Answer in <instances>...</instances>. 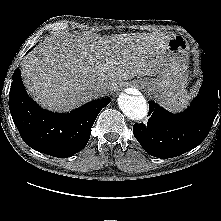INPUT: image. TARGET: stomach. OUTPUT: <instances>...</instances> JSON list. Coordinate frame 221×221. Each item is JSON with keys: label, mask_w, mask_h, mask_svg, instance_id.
<instances>
[{"label": "stomach", "mask_w": 221, "mask_h": 221, "mask_svg": "<svg viewBox=\"0 0 221 221\" xmlns=\"http://www.w3.org/2000/svg\"><path fill=\"white\" fill-rule=\"evenodd\" d=\"M188 41L180 35L168 42L169 59L154 78L138 80L142 89L152 93L166 106H179L186 97Z\"/></svg>", "instance_id": "1"}]
</instances>
